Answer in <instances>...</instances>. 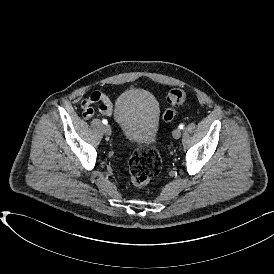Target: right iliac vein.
Listing matches in <instances>:
<instances>
[{"instance_id": "1", "label": "right iliac vein", "mask_w": 274, "mask_h": 274, "mask_svg": "<svg viewBox=\"0 0 274 274\" xmlns=\"http://www.w3.org/2000/svg\"><path fill=\"white\" fill-rule=\"evenodd\" d=\"M103 132L105 133V135H111L112 130H111L110 125H107V124H106V125L103 127Z\"/></svg>"}]
</instances>
